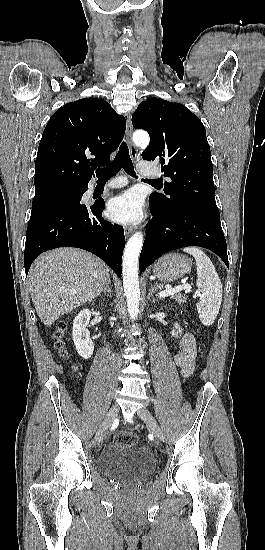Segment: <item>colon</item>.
<instances>
[{"mask_svg": "<svg viewBox=\"0 0 265 550\" xmlns=\"http://www.w3.org/2000/svg\"><path fill=\"white\" fill-rule=\"evenodd\" d=\"M68 324L66 321H60L57 324L55 336L57 338L56 345L60 349V355L66 356V352L63 350V337L67 331ZM115 444L125 445V446H134L137 443V436L133 432L121 431L114 436Z\"/></svg>", "mask_w": 265, "mask_h": 550, "instance_id": "colon-1", "label": "colon"}]
</instances>
